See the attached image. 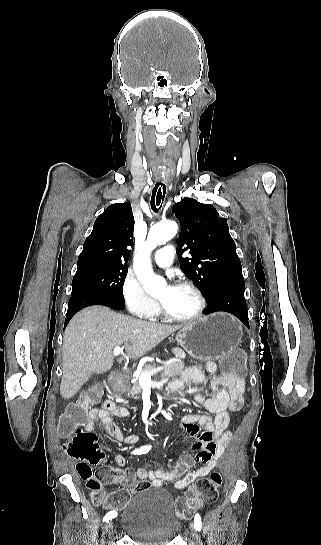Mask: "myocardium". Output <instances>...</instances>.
Returning a JSON list of instances; mask_svg holds the SVG:
<instances>
[{"label":"myocardium","mask_w":321,"mask_h":545,"mask_svg":"<svg viewBox=\"0 0 321 545\" xmlns=\"http://www.w3.org/2000/svg\"><path fill=\"white\" fill-rule=\"evenodd\" d=\"M175 287L176 288H182V289H188V290L192 291L196 295V297L198 299V308H197L196 312L193 315L178 316V315H175V314H172V313L168 312L162 305H160L159 309H160L162 315L166 319H168L170 321H174V322L191 323V322L198 321L203 316V314H204V312L206 310V306H207V301H206V298H205V295H204L203 291L197 285H195L193 282L186 281V280L178 282L175 285Z\"/></svg>","instance_id":"f54148a6"}]
</instances>
